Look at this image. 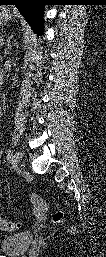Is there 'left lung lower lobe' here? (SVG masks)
<instances>
[{
    "label": "left lung lower lobe",
    "instance_id": "obj_1",
    "mask_svg": "<svg viewBox=\"0 0 106 257\" xmlns=\"http://www.w3.org/2000/svg\"><path fill=\"white\" fill-rule=\"evenodd\" d=\"M1 4L15 5L24 18L31 25L35 33H41L42 27V4L40 0H0Z\"/></svg>",
    "mask_w": 106,
    "mask_h": 257
}]
</instances>
